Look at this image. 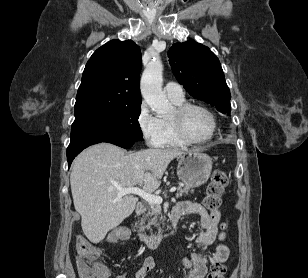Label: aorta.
<instances>
[{
	"mask_svg": "<svg viewBox=\"0 0 308 278\" xmlns=\"http://www.w3.org/2000/svg\"><path fill=\"white\" fill-rule=\"evenodd\" d=\"M163 65L159 57L151 60L141 78V93L144 100L158 115H166L172 108L162 91Z\"/></svg>",
	"mask_w": 308,
	"mask_h": 278,
	"instance_id": "aorta-1",
	"label": "aorta"
}]
</instances>
